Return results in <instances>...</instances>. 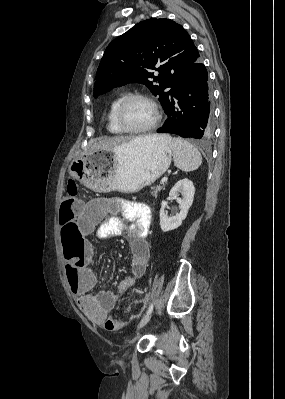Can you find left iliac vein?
Listing matches in <instances>:
<instances>
[{"label": "left iliac vein", "instance_id": "left-iliac-vein-1", "mask_svg": "<svg viewBox=\"0 0 285 399\" xmlns=\"http://www.w3.org/2000/svg\"><path fill=\"white\" fill-rule=\"evenodd\" d=\"M151 317H152V313L143 317V319L137 325V330H140L141 328H143L150 321Z\"/></svg>", "mask_w": 285, "mask_h": 399}]
</instances>
